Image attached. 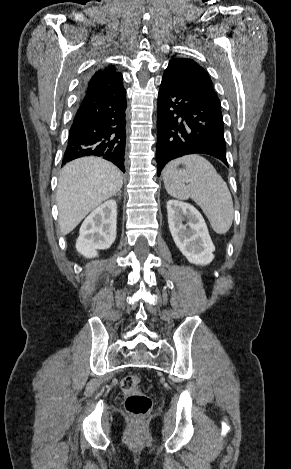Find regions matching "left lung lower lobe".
Wrapping results in <instances>:
<instances>
[{
  "instance_id": "0a47b994",
  "label": "left lung lower lobe",
  "mask_w": 291,
  "mask_h": 469,
  "mask_svg": "<svg viewBox=\"0 0 291 469\" xmlns=\"http://www.w3.org/2000/svg\"><path fill=\"white\" fill-rule=\"evenodd\" d=\"M195 153L228 166L220 102L164 74L158 93V176L169 161Z\"/></svg>"
}]
</instances>
